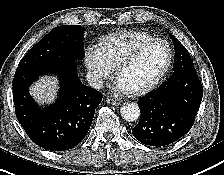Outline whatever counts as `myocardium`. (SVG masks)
I'll return each instance as SVG.
<instances>
[{
    "label": "myocardium",
    "mask_w": 224,
    "mask_h": 175,
    "mask_svg": "<svg viewBox=\"0 0 224 175\" xmlns=\"http://www.w3.org/2000/svg\"><path fill=\"white\" fill-rule=\"evenodd\" d=\"M155 43H162L166 46L167 51H168V56L167 59L162 67V69L159 71V73L147 84L142 85L140 87L128 90L129 94L132 95H140V94H144L150 90H152L153 88H155L157 86V84L162 80V78L165 76V74L167 73V71L170 68V65L172 63V59H173V52H172V48L170 46V44L161 38H153L151 40H148L144 43H142L141 45H139L137 48H135L127 57H125L118 65L116 68V76L119 77V75L121 74V72L126 69L127 67H129L130 65H132L138 58L139 56L143 53V51L145 49H147L149 46L155 44Z\"/></svg>",
    "instance_id": "1"
}]
</instances>
